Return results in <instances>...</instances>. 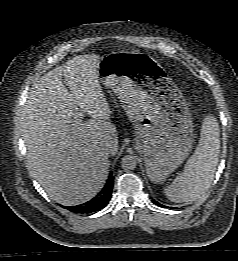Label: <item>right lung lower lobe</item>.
Here are the masks:
<instances>
[{
  "instance_id": "1",
  "label": "right lung lower lobe",
  "mask_w": 238,
  "mask_h": 261,
  "mask_svg": "<svg viewBox=\"0 0 238 261\" xmlns=\"http://www.w3.org/2000/svg\"><path fill=\"white\" fill-rule=\"evenodd\" d=\"M113 189V176L110 174L109 179L102 191L92 200L78 206L65 207L75 213H93L103 209L110 201Z\"/></svg>"
}]
</instances>
